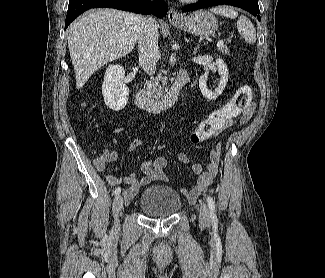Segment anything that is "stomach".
I'll list each match as a JSON object with an SVG mask.
<instances>
[{
	"label": "stomach",
	"mask_w": 325,
	"mask_h": 278,
	"mask_svg": "<svg viewBox=\"0 0 325 278\" xmlns=\"http://www.w3.org/2000/svg\"><path fill=\"white\" fill-rule=\"evenodd\" d=\"M172 24L189 33L198 36H211L218 30V21L216 17L208 11L199 10L179 21H172Z\"/></svg>",
	"instance_id": "1"
}]
</instances>
